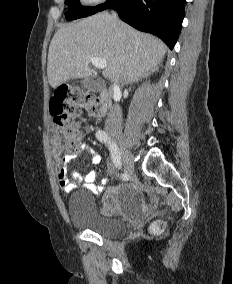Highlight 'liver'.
<instances>
[{"instance_id": "1", "label": "liver", "mask_w": 233, "mask_h": 284, "mask_svg": "<svg viewBox=\"0 0 233 284\" xmlns=\"http://www.w3.org/2000/svg\"><path fill=\"white\" fill-rule=\"evenodd\" d=\"M167 51L158 38L139 32L108 13H98L60 27L48 52L47 75L52 88L70 79L88 78L91 57L105 59L103 76L123 84L138 82L158 70Z\"/></svg>"}]
</instances>
